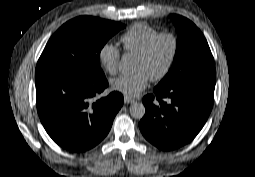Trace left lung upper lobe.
<instances>
[{
  "mask_svg": "<svg viewBox=\"0 0 255 177\" xmlns=\"http://www.w3.org/2000/svg\"><path fill=\"white\" fill-rule=\"evenodd\" d=\"M170 17L178 31L176 54L170 71L156 87L168 88L193 76L214 75L213 56L201 31L182 16Z\"/></svg>",
  "mask_w": 255,
  "mask_h": 177,
  "instance_id": "5c2ea615",
  "label": "left lung upper lobe"
}]
</instances>
